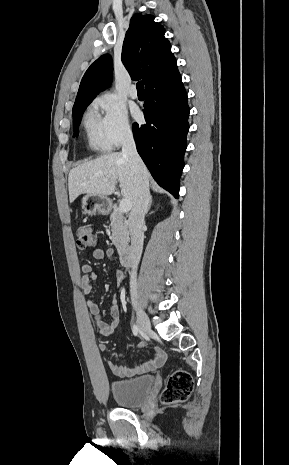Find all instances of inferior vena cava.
<instances>
[{
    "mask_svg": "<svg viewBox=\"0 0 289 465\" xmlns=\"http://www.w3.org/2000/svg\"><path fill=\"white\" fill-rule=\"evenodd\" d=\"M122 154L128 157L131 169L136 175V201L129 216V232L131 236V273L130 293L132 300L137 299V268L143 250V225L150 201L149 183L143 172L146 169L140 158L131 130L123 133Z\"/></svg>",
    "mask_w": 289,
    "mask_h": 465,
    "instance_id": "inferior-vena-cava-1",
    "label": "inferior vena cava"
}]
</instances>
